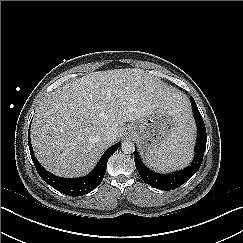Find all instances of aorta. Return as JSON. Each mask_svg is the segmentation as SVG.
<instances>
[{
  "label": "aorta",
  "mask_w": 243,
  "mask_h": 243,
  "mask_svg": "<svg viewBox=\"0 0 243 243\" xmlns=\"http://www.w3.org/2000/svg\"><path fill=\"white\" fill-rule=\"evenodd\" d=\"M121 149L125 154H131L135 151V145L131 141H125L121 145Z\"/></svg>",
  "instance_id": "762f6f07"
}]
</instances>
